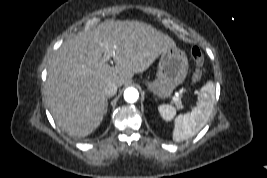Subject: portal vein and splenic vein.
I'll list each match as a JSON object with an SVG mask.
<instances>
[{
    "label": "portal vein and splenic vein",
    "mask_w": 267,
    "mask_h": 178,
    "mask_svg": "<svg viewBox=\"0 0 267 178\" xmlns=\"http://www.w3.org/2000/svg\"><path fill=\"white\" fill-rule=\"evenodd\" d=\"M115 50H116V47L113 46V47H110V46H107L106 47V51L103 55V58H102V62L105 63L107 62L112 56L115 55ZM173 101L176 103V104H180V100L177 96H174L173 97Z\"/></svg>",
    "instance_id": "1"
}]
</instances>
